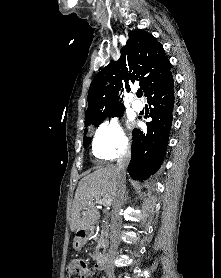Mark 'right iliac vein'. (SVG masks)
<instances>
[{"label": "right iliac vein", "mask_w": 221, "mask_h": 278, "mask_svg": "<svg viewBox=\"0 0 221 278\" xmlns=\"http://www.w3.org/2000/svg\"><path fill=\"white\" fill-rule=\"evenodd\" d=\"M109 278H116L114 275H110Z\"/></svg>", "instance_id": "obj_1"}]
</instances>
